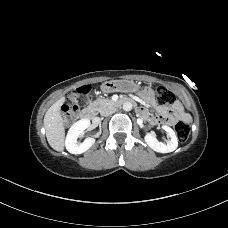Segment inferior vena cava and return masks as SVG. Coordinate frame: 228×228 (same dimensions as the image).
Wrapping results in <instances>:
<instances>
[{
    "instance_id": "inferior-vena-cava-1",
    "label": "inferior vena cava",
    "mask_w": 228,
    "mask_h": 228,
    "mask_svg": "<svg viewBox=\"0 0 228 228\" xmlns=\"http://www.w3.org/2000/svg\"><path fill=\"white\" fill-rule=\"evenodd\" d=\"M115 111H116V108H114V107H108V108L104 109L101 112V115L102 116H109V115L115 113Z\"/></svg>"
}]
</instances>
